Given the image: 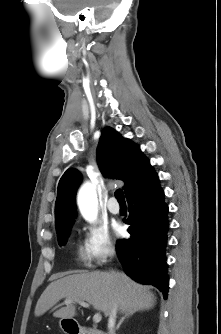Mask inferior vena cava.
<instances>
[{"label":"inferior vena cava","mask_w":221,"mask_h":334,"mask_svg":"<svg viewBox=\"0 0 221 334\" xmlns=\"http://www.w3.org/2000/svg\"><path fill=\"white\" fill-rule=\"evenodd\" d=\"M116 313H117V308L115 306L112 309V311L109 315V320H108V329H109L111 334H114V330H115Z\"/></svg>","instance_id":"obj_1"}]
</instances>
